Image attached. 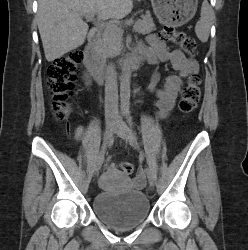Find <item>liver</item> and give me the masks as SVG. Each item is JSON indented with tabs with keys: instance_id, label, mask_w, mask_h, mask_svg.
Returning a JSON list of instances; mask_svg holds the SVG:
<instances>
[{
	"instance_id": "obj_1",
	"label": "liver",
	"mask_w": 248,
	"mask_h": 250,
	"mask_svg": "<svg viewBox=\"0 0 248 250\" xmlns=\"http://www.w3.org/2000/svg\"><path fill=\"white\" fill-rule=\"evenodd\" d=\"M133 8L132 0H38L37 24L48 62L80 47L86 39L85 14L122 19Z\"/></svg>"
}]
</instances>
